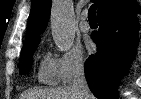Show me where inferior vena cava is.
<instances>
[{"label": "inferior vena cava", "mask_w": 141, "mask_h": 99, "mask_svg": "<svg viewBox=\"0 0 141 99\" xmlns=\"http://www.w3.org/2000/svg\"><path fill=\"white\" fill-rule=\"evenodd\" d=\"M72 87L78 92L80 99H94L88 87L82 63L73 66Z\"/></svg>", "instance_id": "602c4592"}]
</instances>
